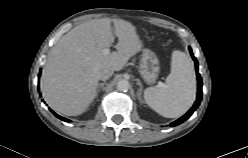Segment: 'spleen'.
Wrapping results in <instances>:
<instances>
[{
  "label": "spleen",
  "instance_id": "spleen-1",
  "mask_svg": "<svg viewBox=\"0 0 248 158\" xmlns=\"http://www.w3.org/2000/svg\"><path fill=\"white\" fill-rule=\"evenodd\" d=\"M196 97V77L193 65L181 51H174L171 57V73L166 84L149 87L144 92L146 103L154 111L167 118L183 115L192 106Z\"/></svg>",
  "mask_w": 248,
  "mask_h": 158
}]
</instances>
